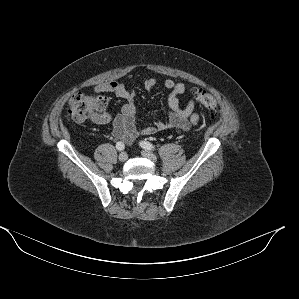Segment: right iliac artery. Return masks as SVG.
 <instances>
[{"instance_id":"right-iliac-artery-1","label":"right iliac artery","mask_w":299,"mask_h":299,"mask_svg":"<svg viewBox=\"0 0 299 299\" xmlns=\"http://www.w3.org/2000/svg\"><path fill=\"white\" fill-rule=\"evenodd\" d=\"M116 148H117V150L122 151V150H124L125 145L122 141H119L116 143Z\"/></svg>"}]
</instances>
